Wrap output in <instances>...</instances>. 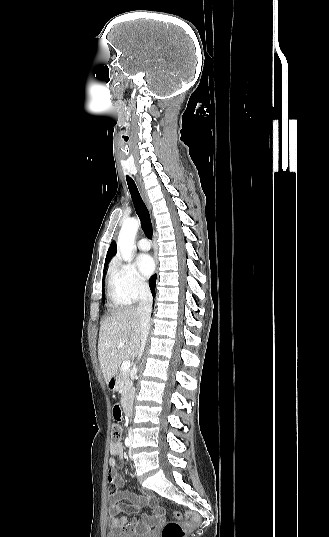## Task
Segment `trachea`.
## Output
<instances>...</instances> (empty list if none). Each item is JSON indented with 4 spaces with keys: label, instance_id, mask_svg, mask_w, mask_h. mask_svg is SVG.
<instances>
[{
    "label": "trachea",
    "instance_id": "3493384b",
    "mask_svg": "<svg viewBox=\"0 0 329 537\" xmlns=\"http://www.w3.org/2000/svg\"><path fill=\"white\" fill-rule=\"evenodd\" d=\"M127 185L131 194L132 201L134 203L136 212L138 217L140 218L142 228L144 233L149 237L152 238L153 236V229L152 224L150 220L149 212L141 198V195L138 191V188L134 182V180L130 176H126Z\"/></svg>",
    "mask_w": 329,
    "mask_h": 537
}]
</instances>
